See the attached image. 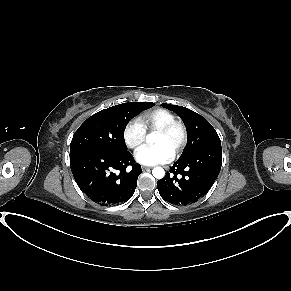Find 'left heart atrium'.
<instances>
[{
    "mask_svg": "<svg viewBox=\"0 0 291 291\" xmlns=\"http://www.w3.org/2000/svg\"><path fill=\"white\" fill-rule=\"evenodd\" d=\"M173 151L165 145H144L135 152V159L144 165H156L172 160Z\"/></svg>",
    "mask_w": 291,
    "mask_h": 291,
    "instance_id": "1",
    "label": "left heart atrium"
}]
</instances>
